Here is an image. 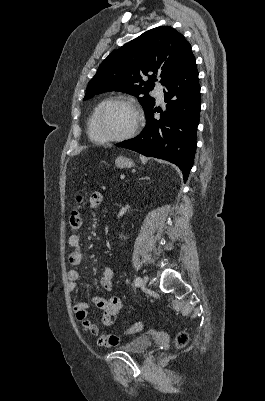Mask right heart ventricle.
Segmentation results:
<instances>
[{
    "mask_svg": "<svg viewBox=\"0 0 265 401\" xmlns=\"http://www.w3.org/2000/svg\"><path fill=\"white\" fill-rule=\"evenodd\" d=\"M103 103H104L103 101L99 102V103L93 108V110L91 111V113H90V115H89V117H88V119H87V134H88L89 138H90L92 141H95V140L93 139V137H92V135H91V133H90V124H91V120H92L94 114L96 113V111L99 109V107H100ZM95 142H96V141H95Z\"/></svg>",
    "mask_w": 265,
    "mask_h": 401,
    "instance_id": "1",
    "label": "right heart ventricle"
}]
</instances>
